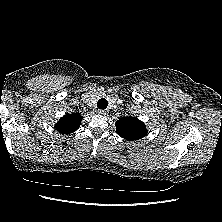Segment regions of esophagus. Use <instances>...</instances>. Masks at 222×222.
<instances>
[{
	"label": "esophagus",
	"instance_id": "esophagus-1",
	"mask_svg": "<svg viewBox=\"0 0 222 222\" xmlns=\"http://www.w3.org/2000/svg\"><path fill=\"white\" fill-rule=\"evenodd\" d=\"M98 113L103 116H106L108 114V111L107 110H98Z\"/></svg>",
	"mask_w": 222,
	"mask_h": 222
}]
</instances>
